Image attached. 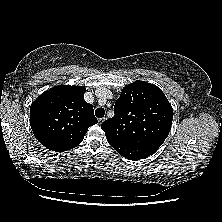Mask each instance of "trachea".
<instances>
[{"label":"trachea","mask_w":222,"mask_h":222,"mask_svg":"<svg viewBox=\"0 0 222 222\" xmlns=\"http://www.w3.org/2000/svg\"><path fill=\"white\" fill-rule=\"evenodd\" d=\"M104 114H105V110L103 108H97L95 110V115L98 117V118H102L104 117Z\"/></svg>","instance_id":"3493384b"}]
</instances>
